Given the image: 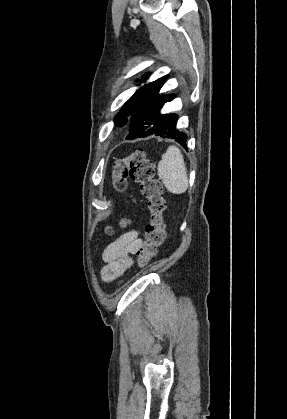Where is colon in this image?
<instances>
[{
  "mask_svg": "<svg viewBox=\"0 0 287 419\" xmlns=\"http://www.w3.org/2000/svg\"><path fill=\"white\" fill-rule=\"evenodd\" d=\"M154 176L155 167L143 149H137L128 156L116 159L112 167V183L116 190L124 191L127 177H130L139 185L148 202L150 218L145 226V240L137 250V262L140 266L147 265L156 257L165 238L162 215L166 203L162 184ZM106 232L111 234L112 228L107 227Z\"/></svg>",
  "mask_w": 287,
  "mask_h": 419,
  "instance_id": "colon-1",
  "label": "colon"
}]
</instances>
